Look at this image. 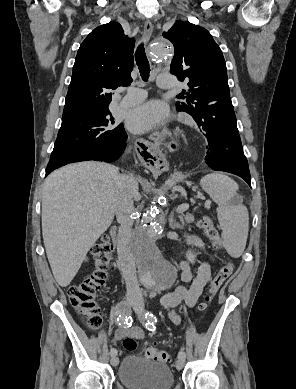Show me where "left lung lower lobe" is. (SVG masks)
Here are the masks:
<instances>
[{"instance_id":"1","label":"left lung lower lobe","mask_w":296,"mask_h":389,"mask_svg":"<svg viewBox=\"0 0 296 389\" xmlns=\"http://www.w3.org/2000/svg\"><path fill=\"white\" fill-rule=\"evenodd\" d=\"M200 128L206 138L205 162L216 171H225L243 178L248 185L250 172L237 129L231 99H225L207 111Z\"/></svg>"}]
</instances>
